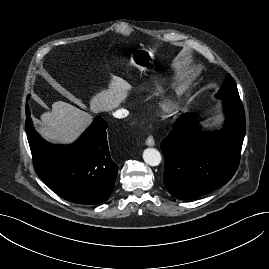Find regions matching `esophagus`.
Segmentation results:
<instances>
[{"instance_id": "1", "label": "esophagus", "mask_w": 269, "mask_h": 269, "mask_svg": "<svg viewBox=\"0 0 269 269\" xmlns=\"http://www.w3.org/2000/svg\"><path fill=\"white\" fill-rule=\"evenodd\" d=\"M146 144L148 146H154L155 145V140H154L153 136H148V138L146 139Z\"/></svg>"}]
</instances>
